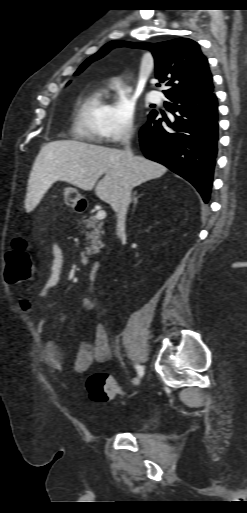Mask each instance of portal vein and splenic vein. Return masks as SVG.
I'll return each mask as SVG.
<instances>
[{
	"label": "portal vein and splenic vein",
	"mask_w": 247,
	"mask_h": 513,
	"mask_svg": "<svg viewBox=\"0 0 247 513\" xmlns=\"http://www.w3.org/2000/svg\"><path fill=\"white\" fill-rule=\"evenodd\" d=\"M95 218H96L97 220H103L104 218H106V212H105V210H99V211L96 213Z\"/></svg>",
	"instance_id": "18ae733b"
}]
</instances>
